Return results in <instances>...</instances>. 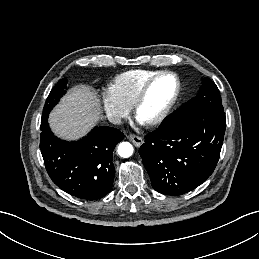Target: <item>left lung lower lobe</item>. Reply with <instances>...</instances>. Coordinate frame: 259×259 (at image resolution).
<instances>
[{
    "label": "left lung lower lobe",
    "mask_w": 259,
    "mask_h": 259,
    "mask_svg": "<svg viewBox=\"0 0 259 259\" xmlns=\"http://www.w3.org/2000/svg\"><path fill=\"white\" fill-rule=\"evenodd\" d=\"M225 128L224 111L200 110L147 134L139 153L152 187L177 196L202 184L217 165Z\"/></svg>",
    "instance_id": "1"
}]
</instances>
